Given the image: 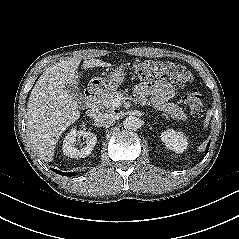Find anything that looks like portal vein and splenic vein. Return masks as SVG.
<instances>
[{"instance_id": "obj_1", "label": "portal vein and splenic vein", "mask_w": 239, "mask_h": 239, "mask_svg": "<svg viewBox=\"0 0 239 239\" xmlns=\"http://www.w3.org/2000/svg\"><path fill=\"white\" fill-rule=\"evenodd\" d=\"M122 100H123V98L117 97L113 100V104L118 107V106H120Z\"/></svg>"}]
</instances>
